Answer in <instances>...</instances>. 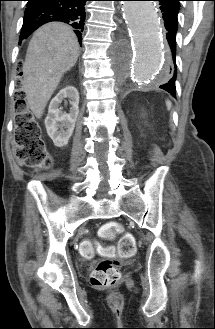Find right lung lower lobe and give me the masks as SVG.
<instances>
[{
	"label": "right lung lower lobe",
	"mask_w": 215,
	"mask_h": 329,
	"mask_svg": "<svg viewBox=\"0 0 215 329\" xmlns=\"http://www.w3.org/2000/svg\"><path fill=\"white\" fill-rule=\"evenodd\" d=\"M27 8L20 35V43L41 25L51 21L68 23L76 33L79 43L85 22V3L89 0H27Z\"/></svg>",
	"instance_id": "obj_1"
}]
</instances>
